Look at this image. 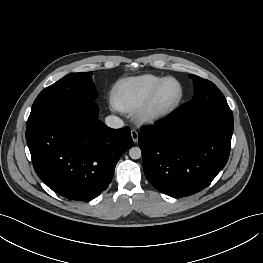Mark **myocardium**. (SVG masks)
Instances as JSON below:
<instances>
[{"instance_id":"f54148a6","label":"myocardium","mask_w":263,"mask_h":263,"mask_svg":"<svg viewBox=\"0 0 263 263\" xmlns=\"http://www.w3.org/2000/svg\"><path fill=\"white\" fill-rule=\"evenodd\" d=\"M175 81L180 87L178 98L171 104L163 106L158 103V97L168 81ZM185 94L183 84L175 77H165L152 91L146 102L135 110V119L142 124H153L172 114L181 104Z\"/></svg>"}]
</instances>
